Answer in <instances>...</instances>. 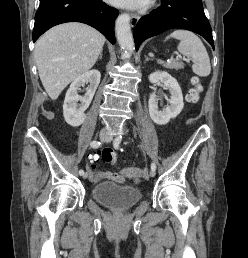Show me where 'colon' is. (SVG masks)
Returning <instances> with one entry per match:
<instances>
[{"instance_id": "obj_1", "label": "colon", "mask_w": 248, "mask_h": 258, "mask_svg": "<svg viewBox=\"0 0 248 258\" xmlns=\"http://www.w3.org/2000/svg\"><path fill=\"white\" fill-rule=\"evenodd\" d=\"M192 84V88L187 92L186 101L190 104H195L199 100L202 87L197 77L192 79ZM101 151H103L102 155H100V151H93V155H88L85 159V173H88V175H97V163H99L101 157L105 162L112 164L116 162V155L110 150V146H101Z\"/></svg>"}]
</instances>
